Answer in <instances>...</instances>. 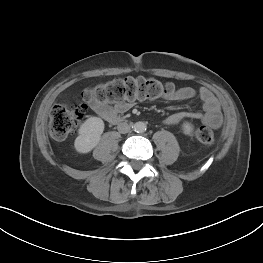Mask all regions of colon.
Returning <instances> with one entry per match:
<instances>
[{
  "label": "colon",
  "instance_id": "5ec220e1",
  "mask_svg": "<svg viewBox=\"0 0 263 263\" xmlns=\"http://www.w3.org/2000/svg\"><path fill=\"white\" fill-rule=\"evenodd\" d=\"M176 89L172 83L161 82L154 78L127 77L97 85L85 91L87 102L120 104L135 100H154L170 96ZM84 108L79 104L55 105L50 113L49 131L54 139H65L81 122ZM197 139L206 145L215 142V134L207 125L196 129Z\"/></svg>",
  "mask_w": 263,
  "mask_h": 263
}]
</instances>
